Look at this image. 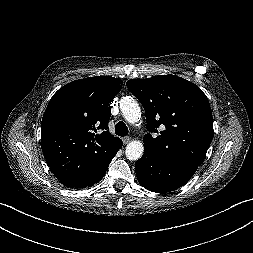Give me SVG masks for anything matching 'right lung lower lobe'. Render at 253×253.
I'll return each instance as SVG.
<instances>
[{"mask_svg": "<svg viewBox=\"0 0 253 253\" xmlns=\"http://www.w3.org/2000/svg\"><path fill=\"white\" fill-rule=\"evenodd\" d=\"M121 147H122V143L119 144V146H118L117 150L115 151L113 157L115 156V154L117 153V151ZM112 158L100 170L89 173V174H87L83 177H69V178H61L59 180L63 185H65L69 188H85L87 186H92L95 183H98L103 178V176L105 175V173L108 169V166H109Z\"/></svg>", "mask_w": 253, "mask_h": 253, "instance_id": "98d812e1", "label": "right lung lower lobe"}]
</instances>
